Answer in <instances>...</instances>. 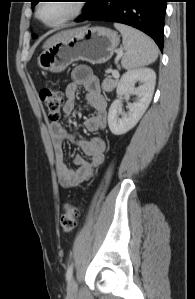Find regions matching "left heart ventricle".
Masks as SVG:
<instances>
[{"label":"left heart ventricle","instance_id":"b2bd125f","mask_svg":"<svg viewBox=\"0 0 195 299\" xmlns=\"http://www.w3.org/2000/svg\"><path fill=\"white\" fill-rule=\"evenodd\" d=\"M72 9L67 0L45 1L40 9L41 18L47 23H55L66 17Z\"/></svg>","mask_w":195,"mask_h":299}]
</instances>
